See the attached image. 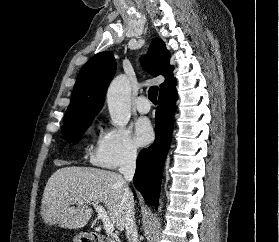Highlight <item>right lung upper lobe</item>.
<instances>
[{"label":"right lung upper lobe","mask_w":279,"mask_h":242,"mask_svg":"<svg viewBox=\"0 0 279 242\" xmlns=\"http://www.w3.org/2000/svg\"><path fill=\"white\" fill-rule=\"evenodd\" d=\"M145 68L154 76L163 75L159 95L175 89L170 54L163 40L155 38L145 58ZM116 70L111 52H101L92 57L81 69L64 116V125L76 124L94 117L102 108L107 87Z\"/></svg>","instance_id":"1"}]
</instances>
